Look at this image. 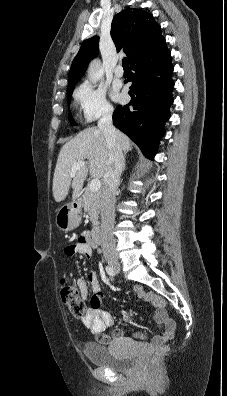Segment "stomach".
Listing matches in <instances>:
<instances>
[{
  "instance_id": "1",
  "label": "stomach",
  "mask_w": 227,
  "mask_h": 396,
  "mask_svg": "<svg viewBox=\"0 0 227 396\" xmlns=\"http://www.w3.org/2000/svg\"><path fill=\"white\" fill-rule=\"evenodd\" d=\"M81 204L80 202H73L59 208L55 223L56 226L64 231H72L77 228L81 222Z\"/></svg>"
}]
</instances>
